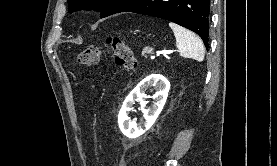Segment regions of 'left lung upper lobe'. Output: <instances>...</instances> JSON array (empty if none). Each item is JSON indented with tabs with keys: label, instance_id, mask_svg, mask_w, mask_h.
<instances>
[{
	"label": "left lung upper lobe",
	"instance_id": "left-lung-upper-lobe-1",
	"mask_svg": "<svg viewBox=\"0 0 277 166\" xmlns=\"http://www.w3.org/2000/svg\"><path fill=\"white\" fill-rule=\"evenodd\" d=\"M69 12L76 10L95 9L101 10V18L119 13L130 7L138 0H67Z\"/></svg>",
	"mask_w": 277,
	"mask_h": 166
}]
</instances>
